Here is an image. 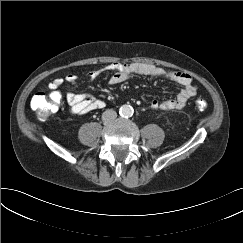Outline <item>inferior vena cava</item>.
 <instances>
[{
  "instance_id": "1",
  "label": "inferior vena cava",
  "mask_w": 243,
  "mask_h": 243,
  "mask_svg": "<svg viewBox=\"0 0 243 243\" xmlns=\"http://www.w3.org/2000/svg\"><path fill=\"white\" fill-rule=\"evenodd\" d=\"M116 117H117V113L112 109H108L103 113L102 120L108 123L114 121Z\"/></svg>"
}]
</instances>
